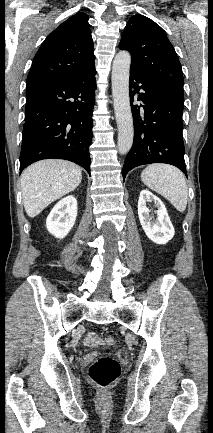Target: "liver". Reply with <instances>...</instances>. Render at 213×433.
Returning a JSON list of instances; mask_svg holds the SVG:
<instances>
[{
  "label": "liver",
  "mask_w": 213,
  "mask_h": 433,
  "mask_svg": "<svg viewBox=\"0 0 213 433\" xmlns=\"http://www.w3.org/2000/svg\"><path fill=\"white\" fill-rule=\"evenodd\" d=\"M82 172L76 164L47 159L28 166L21 174V191L27 215L34 218L49 204L72 192Z\"/></svg>",
  "instance_id": "liver-1"
}]
</instances>
